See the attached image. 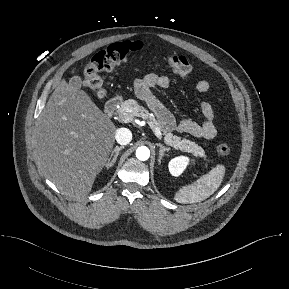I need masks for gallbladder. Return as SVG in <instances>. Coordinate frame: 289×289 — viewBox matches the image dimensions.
Listing matches in <instances>:
<instances>
[{"label":"gallbladder","mask_w":289,"mask_h":289,"mask_svg":"<svg viewBox=\"0 0 289 289\" xmlns=\"http://www.w3.org/2000/svg\"><path fill=\"white\" fill-rule=\"evenodd\" d=\"M69 84L72 85L74 88H80L82 85V80L79 76H73L70 78Z\"/></svg>","instance_id":"gallbladder-1"}]
</instances>
